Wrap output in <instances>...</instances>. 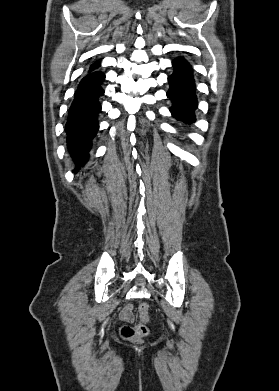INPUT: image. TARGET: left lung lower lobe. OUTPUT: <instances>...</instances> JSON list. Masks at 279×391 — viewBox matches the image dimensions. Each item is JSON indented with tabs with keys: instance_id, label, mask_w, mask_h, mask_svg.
<instances>
[{
	"instance_id": "obj_1",
	"label": "left lung lower lobe",
	"mask_w": 279,
	"mask_h": 391,
	"mask_svg": "<svg viewBox=\"0 0 279 391\" xmlns=\"http://www.w3.org/2000/svg\"><path fill=\"white\" fill-rule=\"evenodd\" d=\"M172 63L174 73L168 78L170 89L167 92V97L172 101L169 110L176 120L191 124L195 121L194 111L197 109L193 71L183 58H176Z\"/></svg>"
}]
</instances>
